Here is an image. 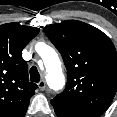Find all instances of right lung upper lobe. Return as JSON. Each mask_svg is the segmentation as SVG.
Here are the masks:
<instances>
[{
	"mask_svg": "<svg viewBox=\"0 0 117 117\" xmlns=\"http://www.w3.org/2000/svg\"><path fill=\"white\" fill-rule=\"evenodd\" d=\"M39 28L17 23L0 25V117H24L38 87L29 82L24 47Z\"/></svg>",
	"mask_w": 117,
	"mask_h": 117,
	"instance_id": "cb5924a9",
	"label": "right lung upper lobe"
}]
</instances>
